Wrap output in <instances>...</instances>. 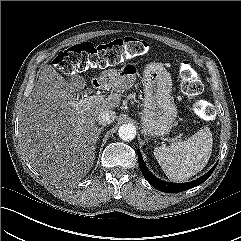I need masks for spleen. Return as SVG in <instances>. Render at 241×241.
I'll use <instances>...</instances> for the list:
<instances>
[{
  "label": "spleen",
  "mask_w": 241,
  "mask_h": 241,
  "mask_svg": "<svg viewBox=\"0 0 241 241\" xmlns=\"http://www.w3.org/2000/svg\"><path fill=\"white\" fill-rule=\"evenodd\" d=\"M212 145L211 131L205 127L183 141L156 147L154 155L170 180L183 182L203 170L211 156Z\"/></svg>",
  "instance_id": "3e777b00"
}]
</instances>
